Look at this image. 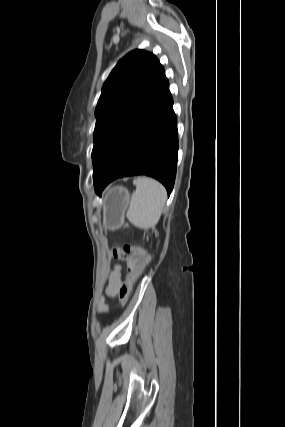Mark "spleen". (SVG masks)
Segmentation results:
<instances>
[{
	"mask_svg": "<svg viewBox=\"0 0 285 427\" xmlns=\"http://www.w3.org/2000/svg\"><path fill=\"white\" fill-rule=\"evenodd\" d=\"M134 184L135 192L131 196L126 217L134 226L149 229L158 223L167 193L162 184L148 177H138Z\"/></svg>",
	"mask_w": 285,
	"mask_h": 427,
	"instance_id": "spleen-1",
	"label": "spleen"
}]
</instances>
